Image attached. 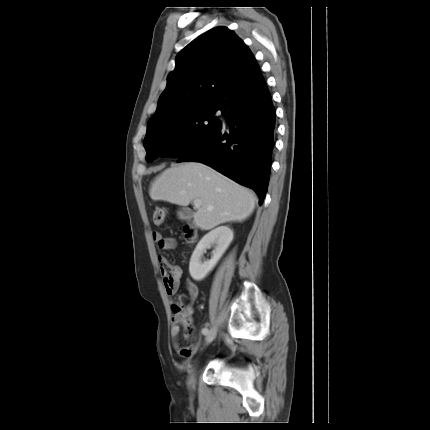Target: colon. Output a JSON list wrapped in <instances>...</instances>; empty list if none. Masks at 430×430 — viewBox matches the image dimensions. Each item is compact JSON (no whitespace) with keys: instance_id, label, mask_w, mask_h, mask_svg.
I'll return each mask as SVG.
<instances>
[{"instance_id":"1","label":"colon","mask_w":430,"mask_h":430,"mask_svg":"<svg viewBox=\"0 0 430 430\" xmlns=\"http://www.w3.org/2000/svg\"><path fill=\"white\" fill-rule=\"evenodd\" d=\"M153 220L156 224H162L165 220V211L162 208H157L153 213ZM171 310L173 318L185 329L186 334L188 336L192 335L194 328L190 317V311L185 308L180 299L172 303Z\"/></svg>"}]
</instances>
